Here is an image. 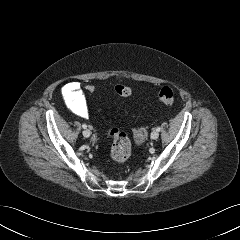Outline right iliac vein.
I'll return each mask as SVG.
<instances>
[{
	"mask_svg": "<svg viewBox=\"0 0 240 240\" xmlns=\"http://www.w3.org/2000/svg\"><path fill=\"white\" fill-rule=\"evenodd\" d=\"M90 135H91L90 130L86 129V130L83 131V136L84 137L88 138V137H90Z\"/></svg>",
	"mask_w": 240,
	"mask_h": 240,
	"instance_id": "right-iliac-vein-1",
	"label": "right iliac vein"
}]
</instances>
